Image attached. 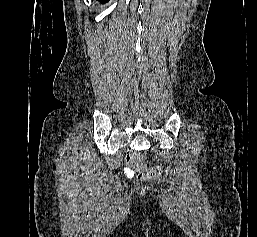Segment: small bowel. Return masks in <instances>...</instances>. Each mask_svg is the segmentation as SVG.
Returning <instances> with one entry per match:
<instances>
[{
  "mask_svg": "<svg viewBox=\"0 0 257 237\" xmlns=\"http://www.w3.org/2000/svg\"><path fill=\"white\" fill-rule=\"evenodd\" d=\"M126 173L128 174V175H132V170H131V168L130 167H127L126 168Z\"/></svg>",
  "mask_w": 257,
  "mask_h": 237,
  "instance_id": "c3829d8e",
  "label": "small bowel"
}]
</instances>
